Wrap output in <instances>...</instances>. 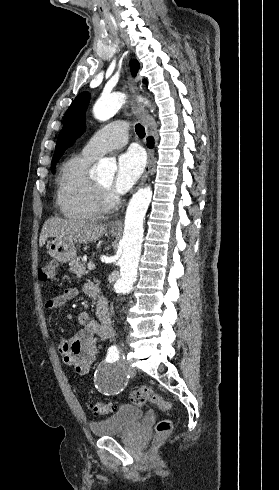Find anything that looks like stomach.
Instances as JSON below:
<instances>
[{
  "instance_id": "1",
  "label": "stomach",
  "mask_w": 279,
  "mask_h": 490,
  "mask_svg": "<svg viewBox=\"0 0 279 490\" xmlns=\"http://www.w3.org/2000/svg\"><path fill=\"white\" fill-rule=\"evenodd\" d=\"M112 236H118L117 232H111ZM47 250L49 256L61 262V264H67V262H72L77 256L76 246L73 242H59V240H52L48 242Z\"/></svg>"
}]
</instances>
